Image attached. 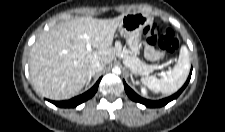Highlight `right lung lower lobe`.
Returning a JSON list of instances; mask_svg holds the SVG:
<instances>
[{
    "instance_id": "1",
    "label": "right lung lower lobe",
    "mask_w": 225,
    "mask_h": 132,
    "mask_svg": "<svg viewBox=\"0 0 225 132\" xmlns=\"http://www.w3.org/2000/svg\"><path fill=\"white\" fill-rule=\"evenodd\" d=\"M100 80L101 78L96 82V84L90 90H88L87 92H85L84 94L80 96L74 97L66 101H51V102L58 107H64V108L76 107L77 105L90 99L96 93Z\"/></svg>"
}]
</instances>
